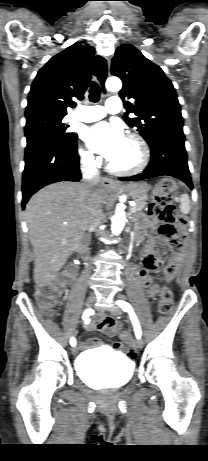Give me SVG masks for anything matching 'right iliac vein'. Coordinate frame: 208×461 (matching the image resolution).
Segmentation results:
<instances>
[{"label":"right iliac vein","instance_id":"63e3f726","mask_svg":"<svg viewBox=\"0 0 208 461\" xmlns=\"http://www.w3.org/2000/svg\"><path fill=\"white\" fill-rule=\"evenodd\" d=\"M94 301H95V295L93 293H91L87 298L86 307L90 308L93 305ZM71 352H72L73 355H76L77 352H78L77 346H74L72 348Z\"/></svg>","mask_w":208,"mask_h":461}]
</instances>
